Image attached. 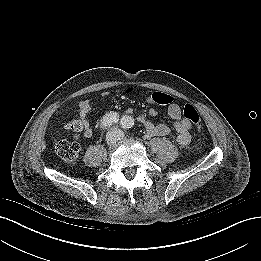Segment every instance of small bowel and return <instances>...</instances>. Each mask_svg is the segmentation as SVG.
<instances>
[{"mask_svg": "<svg viewBox=\"0 0 261 261\" xmlns=\"http://www.w3.org/2000/svg\"><path fill=\"white\" fill-rule=\"evenodd\" d=\"M146 101L150 104H158L153 94L146 97ZM95 102L91 99H84L79 103L78 108V117L83 125V135L85 137L92 136V130L89 125L88 114ZM167 113L172 121V126L176 132L174 139L176 142L182 146L188 145L191 141V137L189 131L192 127V123L182 117L181 108L178 104L174 102L168 103ZM150 116H156L157 110L155 108H151L149 110ZM137 121L142 124L146 130L147 136H169L171 135V127L167 124H154L150 120L146 118L144 114H139L137 116Z\"/></svg>", "mask_w": 261, "mask_h": 261, "instance_id": "obj_1", "label": "small bowel"}]
</instances>
